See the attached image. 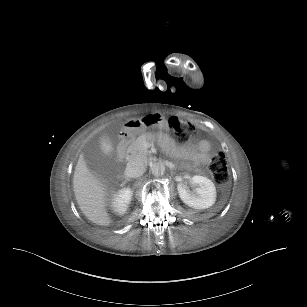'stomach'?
Here are the masks:
<instances>
[{"instance_id":"stomach-1","label":"stomach","mask_w":307,"mask_h":307,"mask_svg":"<svg viewBox=\"0 0 307 307\" xmlns=\"http://www.w3.org/2000/svg\"><path fill=\"white\" fill-rule=\"evenodd\" d=\"M129 128L134 133H142L148 128L167 129V120L159 114H153L144 118H134L129 122Z\"/></svg>"}]
</instances>
